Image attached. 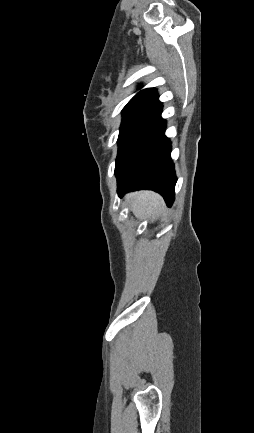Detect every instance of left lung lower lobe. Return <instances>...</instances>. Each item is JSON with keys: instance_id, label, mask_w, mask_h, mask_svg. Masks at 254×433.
Returning a JSON list of instances; mask_svg holds the SVG:
<instances>
[{"instance_id": "obj_1", "label": "left lung lower lobe", "mask_w": 254, "mask_h": 433, "mask_svg": "<svg viewBox=\"0 0 254 433\" xmlns=\"http://www.w3.org/2000/svg\"><path fill=\"white\" fill-rule=\"evenodd\" d=\"M161 111L162 106L138 131L115 174L120 197L129 191L149 189L160 193L171 206L177 178Z\"/></svg>"}]
</instances>
